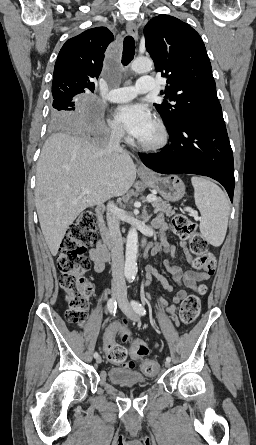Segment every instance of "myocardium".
<instances>
[{"label": "myocardium", "mask_w": 256, "mask_h": 445, "mask_svg": "<svg viewBox=\"0 0 256 445\" xmlns=\"http://www.w3.org/2000/svg\"><path fill=\"white\" fill-rule=\"evenodd\" d=\"M157 137L153 141H139V146L146 151H157L164 148L169 140V133L165 124L159 120L155 122Z\"/></svg>", "instance_id": "f54148a6"}]
</instances>
